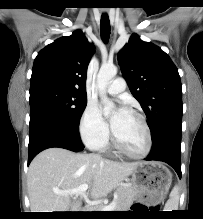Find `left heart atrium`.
Returning <instances> with one entry per match:
<instances>
[{"label": "left heart atrium", "mask_w": 203, "mask_h": 219, "mask_svg": "<svg viewBox=\"0 0 203 219\" xmlns=\"http://www.w3.org/2000/svg\"><path fill=\"white\" fill-rule=\"evenodd\" d=\"M128 112L129 111H128V109L126 107H121L118 110L117 114H118L119 117H122V116L126 115Z\"/></svg>", "instance_id": "1"}]
</instances>
